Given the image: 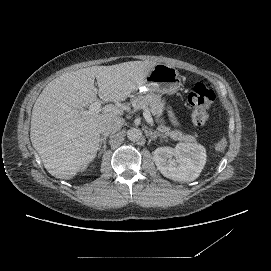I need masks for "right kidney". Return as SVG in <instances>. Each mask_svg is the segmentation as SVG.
I'll return each mask as SVG.
<instances>
[{"mask_svg": "<svg viewBox=\"0 0 271 271\" xmlns=\"http://www.w3.org/2000/svg\"><path fill=\"white\" fill-rule=\"evenodd\" d=\"M87 167V166H86ZM86 167H83V168H79L78 172H82L84 170V168Z\"/></svg>", "mask_w": 271, "mask_h": 271, "instance_id": "1", "label": "right kidney"}]
</instances>
